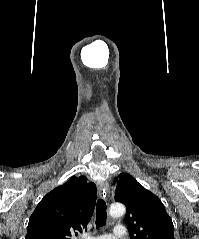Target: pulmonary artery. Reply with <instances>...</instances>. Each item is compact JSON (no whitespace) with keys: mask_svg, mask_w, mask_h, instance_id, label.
<instances>
[{"mask_svg":"<svg viewBox=\"0 0 199 239\" xmlns=\"http://www.w3.org/2000/svg\"><path fill=\"white\" fill-rule=\"evenodd\" d=\"M126 231L123 225H116L113 234H106L97 237H88L87 239H125Z\"/></svg>","mask_w":199,"mask_h":239,"instance_id":"obj_1","label":"pulmonary artery"}]
</instances>
